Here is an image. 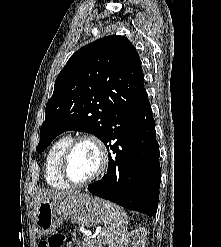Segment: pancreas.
Masks as SVG:
<instances>
[{"label": "pancreas", "instance_id": "1", "mask_svg": "<svg viewBox=\"0 0 221 247\" xmlns=\"http://www.w3.org/2000/svg\"><path fill=\"white\" fill-rule=\"evenodd\" d=\"M83 245L84 247H101L99 242L88 237L84 238Z\"/></svg>", "mask_w": 221, "mask_h": 247}]
</instances>
